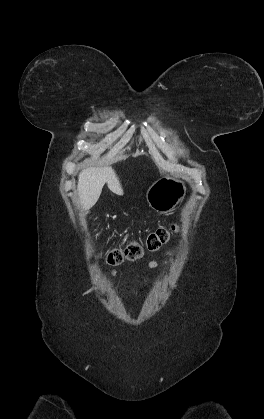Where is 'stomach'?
<instances>
[{
  "label": "stomach",
  "instance_id": "1",
  "mask_svg": "<svg viewBox=\"0 0 264 419\" xmlns=\"http://www.w3.org/2000/svg\"><path fill=\"white\" fill-rule=\"evenodd\" d=\"M186 196V185L183 180L162 177L153 183L146 193L149 206L159 212L174 210Z\"/></svg>",
  "mask_w": 264,
  "mask_h": 419
}]
</instances>
